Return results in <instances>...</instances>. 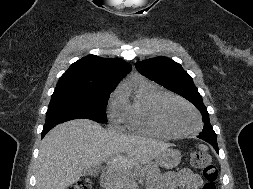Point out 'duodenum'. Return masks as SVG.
<instances>
[{
    "label": "duodenum",
    "mask_w": 253,
    "mask_h": 189,
    "mask_svg": "<svg viewBox=\"0 0 253 189\" xmlns=\"http://www.w3.org/2000/svg\"><path fill=\"white\" fill-rule=\"evenodd\" d=\"M100 182L102 187H104L105 189H109L113 182V174L110 171H105L101 175Z\"/></svg>",
    "instance_id": "duodenum-1"
}]
</instances>
